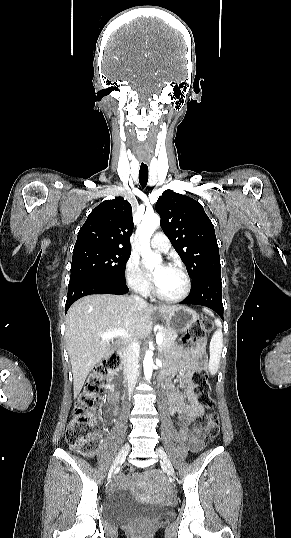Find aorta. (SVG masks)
<instances>
[{
  "instance_id": "762f6f07",
  "label": "aorta",
  "mask_w": 291,
  "mask_h": 538,
  "mask_svg": "<svg viewBox=\"0 0 291 538\" xmlns=\"http://www.w3.org/2000/svg\"><path fill=\"white\" fill-rule=\"evenodd\" d=\"M160 225V217L156 213L145 214L138 229L140 252L146 261V267L152 270L156 265L162 263V257L159 254H154L150 248V238L155 229ZM153 353L147 350L143 360V368L145 379L149 381L152 377L154 363Z\"/></svg>"
}]
</instances>
